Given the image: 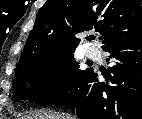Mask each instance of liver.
<instances>
[{
    "mask_svg": "<svg viewBox=\"0 0 142 119\" xmlns=\"http://www.w3.org/2000/svg\"><path fill=\"white\" fill-rule=\"evenodd\" d=\"M24 119H68V118H65V116H62L60 114H35L33 117L31 116H27V118H24Z\"/></svg>",
    "mask_w": 142,
    "mask_h": 119,
    "instance_id": "1",
    "label": "liver"
}]
</instances>
